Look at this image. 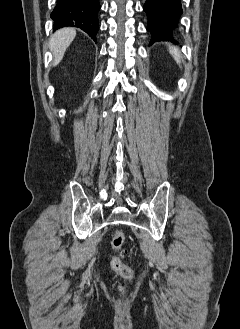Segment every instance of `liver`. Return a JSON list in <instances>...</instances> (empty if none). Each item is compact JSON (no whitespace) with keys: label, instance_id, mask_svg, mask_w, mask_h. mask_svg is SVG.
<instances>
[{"label":"liver","instance_id":"1","mask_svg":"<svg viewBox=\"0 0 240 329\" xmlns=\"http://www.w3.org/2000/svg\"><path fill=\"white\" fill-rule=\"evenodd\" d=\"M75 36L76 30L74 28L60 29L51 36L49 41V48L54 56L53 66H56L60 63L66 49L72 43Z\"/></svg>","mask_w":240,"mask_h":329}]
</instances>
